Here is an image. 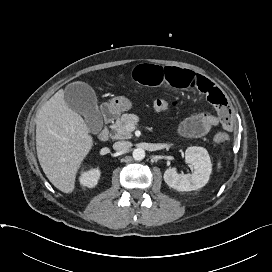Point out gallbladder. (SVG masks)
<instances>
[{
    "instance_id": "1",
    "label": "gallbladder",
    "mask_w": 272,
    "mask_h": 272,
    "mask_svg": "<svg viewBox=\"0 0 272 272\" xmlns=\"http://www.w3.org/2000/svg\"><path fill=\"white\" fill-rule=\"evenodd\" d=\"M64 100L69 108L84 116L90 132L101 131L103 121L92 87L83 82L72 83L64 90Z\"/></svg>"
}]
</instances>
